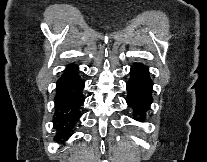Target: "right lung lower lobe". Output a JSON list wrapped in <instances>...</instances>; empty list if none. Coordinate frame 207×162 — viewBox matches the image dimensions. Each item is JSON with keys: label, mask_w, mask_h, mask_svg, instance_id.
<instances>
[{"label": "right lung lower lobe", "mask_w": 207, "mask_h": 162, "mask_svg": "<svg viewBox=\"0 0 207 162\" xmlns=\"http://www.w3.org/2000/svg\"><path fill=\"white\" fill-rule=\"evenodd\" d=\"M83 88L84 82L77 74V68L74 64L68 65L57 81L55 128L58 130V137L69 136L81 116L80 106L84 103Z\"/></svg>", "instance_id": "1"}]
</instances>
